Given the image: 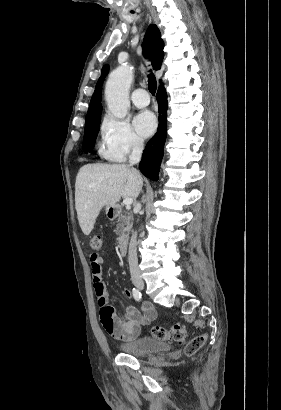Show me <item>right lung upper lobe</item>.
I'll list each match as a JSON object with an SVG mask.
<instances>
[{"label": "right lung upper lobe", "mask_w": 281, "mask_h": 410, "mask_svg": "<svg viewBox=\"0 0 281 410\" xmlns=\"http://www.w3.org/2000/svg\"><path fill=\"white\" fill-rule=\"evenodd\" d=\"M164 42L161 39V34L158 27L154 24L150 25L147 29L145 38H144V50L145 53H148L153 68L159 70L161 68L162 60L164 57ZM108 72V66L105 65L101 71V77L99 78L97 85L95 87L94 94L91 98L88 114L86 115V121L97 118L101 116L102 105H101V91H102V82ZM163 85L162 83L160 86Z\"/></svg>", "instance_id": "right-lung-upper-lobe-1"}]
</instances>
